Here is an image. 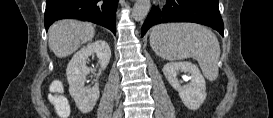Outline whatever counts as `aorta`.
<instances>
[{"instance_id": "obj_1", "label": "aorta", "mask_w": 273, "mask_h": 118, "mask_svg": "<svg viewBox=\"0 0 273 118\" xmlns=\"http://www.w3.org/2000/svg\"><path fill=\"white\" fill-rule=\"evenodd\" d=\"M150 7V0H136L132 11L133 19L138 22L144 20L149 13Z\"/></svg>"}]
</instances>
